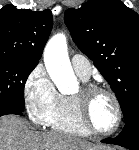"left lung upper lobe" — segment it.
<instances>
[{"mask_svg": "<svg viewBox=\"0 0 139 150\" xmlns=\"http://www.w3.org/2000/svg\"><path fill=\"white\" fill-rule=\"evenodd\" d=\"M64 19L75 44L109 82L126 123L139 108V15L120 0H91L67 9Z\"/></svg>", "mask_w": 139, "mask_h": 150, "instance_id": "1", "label": "left lung upper lobe"}]
</instances>
